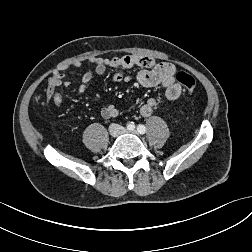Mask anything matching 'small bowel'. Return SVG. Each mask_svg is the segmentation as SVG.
<instances>
[{
  "label": "small bowel",
  "instance_id": "small-bowel-1",
  "mask_svg": "<svg viewBox=\"0 0 252 252\" xmlns=\"http://www.w3.org/2000/svg\"><path fill=\"white\" fill-rule=\"evenodd\" d=\"M89 62L92 67H88L81 77V82L78 87V93L82 95L93 77V72L96 74L105 73L107 67L117 68H133L139 67L141 70L135 75H125L121 72H116L113 75L115 82H130L137 81L144 87H157L160 86L165 90V96L170 101L177 100L181 93L182 87L175 80L177 68L173 63L169 62H156L154 59L147 56L139 55H125L122 57H114L111 59L102 58L99 56H92L89 58ZM75 67H82L81 61L74 63ZM70 83L64 81V74L62 72L55 73L50 77L45 94L47 100L52 99L57 107H61L63 104L62 95L57 92L60 86L68 87ZM157 105L155 98H149L141 107L140 114L144 117H148L153 113L154 108ZM120 109L113 104L107 105L101 109V116L105 119L115 118L119 116Z\"/></svg>",
  "mask_w": 252,
  "mask_h": 252
}]
</instances>
